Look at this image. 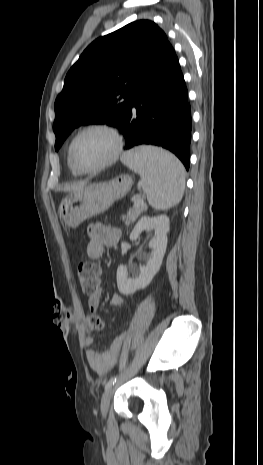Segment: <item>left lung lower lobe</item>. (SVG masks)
<instances>
[{
    "label": "left lung lower lobe",
    "mask_w": 263,
    "mask_h": 465,
    "mask_svg": "<svg viewBox=\"0 0 263 465\" xmlns=\"http://www.w3.org/2000/svg\"><path fill=\"white\" fill-rule=\"evenodd\" d=\"M177 56L168 43L132 89L131 103L120 126L125 149L140 144L173 152L189 169L191 112Z\"/></svg>",
    "instance_id": "left-lung-lower-lobe-1"
}]
</instances>
